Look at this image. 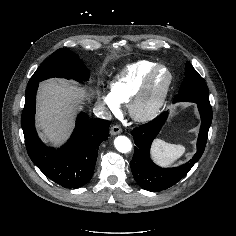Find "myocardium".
Listing matches in <instances>:
<instances>
[{
  "mask_svg": "<svg viewBox=\"0 0 236 236\" xmlns=\"http://www.w3.org/2000/svg\"><path fill=\"white\" fill-rule=\"evenodd\" d=\"M164 71L166 73V81L162 91L158 97L148 106H145L146 99L150 90V86L155 76ZM173 76L169 68L164 65L155 66L144 78L142 84L129 102V114L137 122L145 123L153 120L163 108L168 97Z\"/></svg>",
  "mask_w": 236,
  "mask_h": 236,
  "instance_id": "f54148a6",
  "label": "myocardium"
}]
</instances>
